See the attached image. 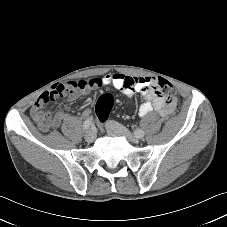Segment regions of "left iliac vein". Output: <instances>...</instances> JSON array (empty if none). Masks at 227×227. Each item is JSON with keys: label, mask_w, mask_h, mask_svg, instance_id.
Segmentation results:
<instances>
[{"label": "left iliac vein", "mask_w": 227, "mask_h": 227, "mask_svg": "<svg viewBox=\"0 0 227 227\" xmlns=\"http://www.w3.org/2000/svg\"><path fill=\"white\" fill-rule=\"evenodd\" d=\"M106 129L110 133L118 136H123L131 142H137V138L133 136L124 126L120 125L115 121H109L106 123Z\"/></svg>", "instance_id": "left-iliac-vein-1"}]
</instances>
